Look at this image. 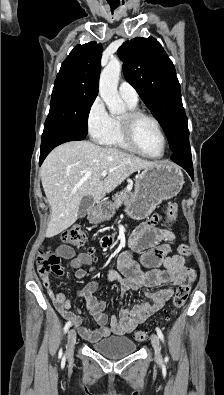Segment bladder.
Wrapping results in <instances>:
<instances>
[{
  "label": "bladder",
  "mask_w": 224,
  "mask_h": 395,
  "mask_svg": "<svg viewBox=\"0 0 224 395\" xmlns=\"http://www.w3.org/2000/svg\"><path fill=\"white\" fill-rule=\"evenodd\" d=\"M91 348L108 359L117 360L134 353L137 345L129 337L112 336L93 343Z\"/></svg>",
  "instance_id": "1"
}]
</instances>
